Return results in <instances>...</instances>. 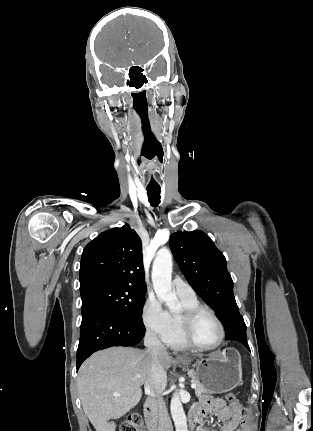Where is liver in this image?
<instances>
[{"label":"liver","mask_w":313,"mask_h":431,"mask_svg":"<svg viewBox=\"0 0 313 431\" xmlns=\"http://www.w3.org/2000/svg\"><path fill=\"white\" fill-rule=\"evenodd\" d=\"M164 369L173 359L162 356ZM147 350L112 347L96 352L80 367L78 392L84 413L96 431H115L114 422L135 407L141 397V386L150 371Z\"/></svg>","instance_id":"obj_1"}]
</instances>
